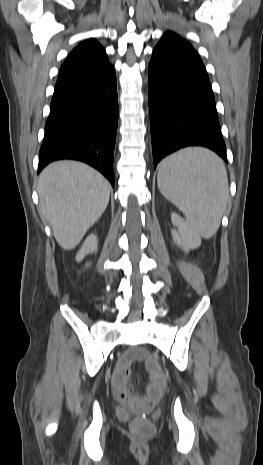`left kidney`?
I'll return each mask as SVG.
<instances>
[{
  "mask_svg": "<svg viewBox=\"0 0 263 465\" xmlns=\"http://www.w3.org/2000/svg\"><path fill=\"white\" fill-rule=\"evenodd\" d=\"M172 224L177 228L172 230L174 242L181 247L185 252L195 249L201 245L199 235L191 228V226L183 220L178 214H171Z\"/></svg>",
  "mask_w": 263,
  "mask_h": 465,
  "instance_id": "left-kidney-1",
  "label": "left kidney"
}]
</instances>
